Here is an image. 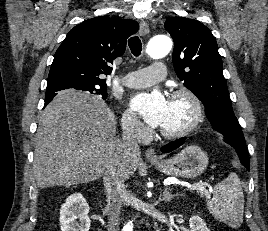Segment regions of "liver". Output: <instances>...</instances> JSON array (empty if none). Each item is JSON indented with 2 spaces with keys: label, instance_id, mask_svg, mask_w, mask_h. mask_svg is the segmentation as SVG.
<instances>
[{
  "label": "liver",
  "instance_id": "liver-1",
  "mask_svg": "<svg viewBox=\"0 0 268 231\" xmlns=\"http://www.w3.org/2000/svg\"><path fill=\"white\" fill-rule=\"evenodd\" d=\"M116 137L113 112L88 93L60 92L43 110L36 134L33 172L37 186L87 183L104 175L114 160L129 178L137 169Z\"/></svg>",
  "mask_w": 268,
  "mask_h": 231
}]
</instances>
